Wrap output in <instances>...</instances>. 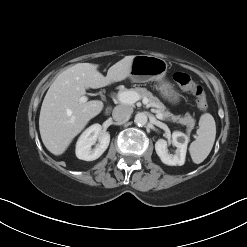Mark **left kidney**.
I'll list each match as a JSON object with an SVG mask.
<instances>
[{
  "label": "left kidney",
  "mask_w": 247,
  "mask_h": 247,
  "mask_svg": "<svg viewBox=\"0 0 247 247\" xmlns=\"http://www.w3.org/2000/svg\"><path fill=\"white\" fill-rule=\"evenodd\" d=\"M188 142L189 137L187 135L175 131L172 133V144L177 148L174 155L168 153V143L164 139H159L155 143V150L164 164L170 166H181L185 163Z\"/></svg>",
  "instance_id": "obj_1"
}]
</instances>
